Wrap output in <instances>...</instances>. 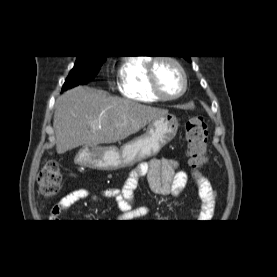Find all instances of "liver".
Listing matches in <instances>:
<instances>
[{
	"label": "liver",
	"mask_w": 277,
	"mask_h": 277,
	"mask_svg": "<svg viewBox=\"0 0 277 277\" xmlns=\"http://www.w3.org/2000/svg\"><path fill=\"white\" fill-rule=\"evenodd\" d=\"M167 110L76 87L56 101L53 127L59 154L81 145L96 147L126 139Z\"/></svg>",
	"instance_id": "obj_1"
}]
</instances>
